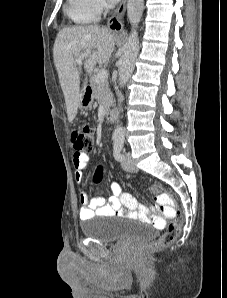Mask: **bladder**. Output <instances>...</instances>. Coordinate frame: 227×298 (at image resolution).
I'll return each instance as SVG.
<instances>
[{"instance_id":"obj_1","label":"bladder","mask_w":227,"mask_h":298,"mask_svg":"<svg viewBox=\"0 0 227 298\" xmlns=\"http://www.w3.org/2000/svg\"><path fill=\"white\" fill-rule=\"evenodd\" d=\"M82 234L104 244L118 241L146 238L153 234V228L138 220L116 218L114 220H88L80 226Z\"/></svg>"}]
</instances>
